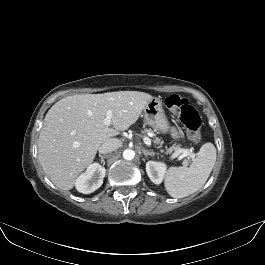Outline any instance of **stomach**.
<instances>
[{"instance_id":"obj_1","label":"stomach","mask_w":265,"mask_h":265,"mask_svg":"<svg viewBox=\"0 0 265 265\" xmlns=\"http://www.w3.org/2000/svg\"><path fill=\"white\" fill-rule=\"evenodd\" d=\"M145 122L156 132L167 133L170 127L169 121L162 107V101L153 97L143 110Z\"/></svg>"}]
</instances>
